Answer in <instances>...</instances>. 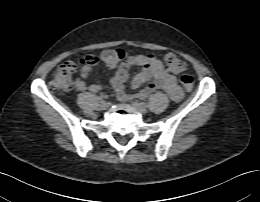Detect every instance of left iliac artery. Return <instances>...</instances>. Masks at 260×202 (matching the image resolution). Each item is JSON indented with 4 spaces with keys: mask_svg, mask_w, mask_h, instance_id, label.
Wrapping results in <instances>:
<instances>
[{
    "mask_svg": "<svg viewBox=\"0 0 260 202\" xmlns=\"http://www.w3.org/2000/svg\"><path fill=\"white\" fill-rule=\"evenodd\" d=\"M141 104H142V105H144V106H146V105H147V103H145V102H142Z\"/></svg>",
    "mask_w": 260,
    "mask_h": 202,
    "instance_id": "44dca946",
    "label": "left iliac artery"
}]
</instances>
